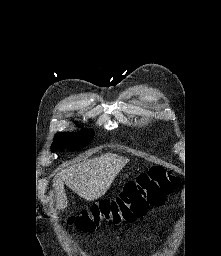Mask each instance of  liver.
<instances>
[{
    "label": "liver",
    "mask_w": 221,
    "mask_h": 256,
    "mask_svg": "<svg viewBox=\"0 0 221 256\" xmlns=\"http://www.w3.org/2000/svg\"><path fill=\"white\" fill-rule=\"evenodd\" d=\"M128 162V158L106 153L62 169L53 179L57 208L65 209L68 204L64 184L81 198L95 201L108 191L115 177Z\"/></svg>",
    "instance_id": "6515ba94"
}]
</instances>
